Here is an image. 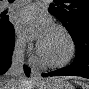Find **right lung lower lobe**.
I'll use <instances>...</instances> for the list:
<instances>
[{
  "mask_svg": "<svg viewBox=\"0 0 89 89\" xmlns=\"http://www.w3.org/2000/svg\"><path fill=\"white\" fill-rule=\"evenodd\" d=\"M14 42V27L8 21L4 27H0V74L5 73L11 65ZM24 68L25 73L28 75L27 67Z\"/></svg>",
  "mask_w": 89,
  "mask_h": 89,
  "instance_id": "obj_1",
  "label": "right lung lower lobe"
}]
</instances>
